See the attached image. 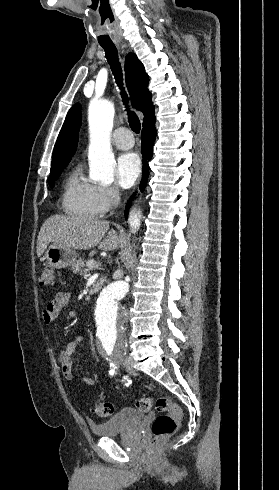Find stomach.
<instances>
[{
  "instance_id": "obj_1",
  "label": "stomach",
  "mask_w": 279,
  "mask_h": 490,
  "mask_svg": "<svg viewBox=\"0 0 279 490\" xmlns=\"http://www.w3.org/2000/svg\"><path fill=\"white\" fill-rule=\"evenodd\" d=\"M78 254L75 250H67V248H60L58 244H53L49 246L47 252H45V260L51 268H56V270H62V268H67L76 262Z\"/></svg>"
}]
</instances>
